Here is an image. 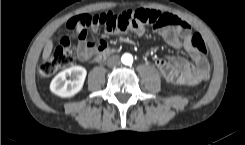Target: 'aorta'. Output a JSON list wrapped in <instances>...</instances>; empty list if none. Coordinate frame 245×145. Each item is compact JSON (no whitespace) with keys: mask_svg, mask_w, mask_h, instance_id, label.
Returning a JSON list of instances; mask_svg holds the SVG:
<instances>
[{"mask_svg":"<svg viewBox=\"0 0 245 145\" xmlns=\"http://www.w3.org/2000/svg\"><path fill=\"white\" fill-rule=\"evenodd\" d=\"M121 61L125 65H132V63H133V57H132L131 54L125 53V54L122 55Z\"/></svg>","mask_w":245,"mask_h":145,"instance_id":"aorta-1","label":"aorta"}]
</instances>
